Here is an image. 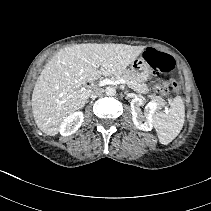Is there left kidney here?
Wrapping results in <instances>:
<instances>
[{
	"label": "left kidney",
	"instance_id": "left-kidney-1",
	"mask_svg": "<svg viewBox=\"0 0 211 211\" xmlns=\"http://www.w3.org/2000/svg\"><path fill=\"white\" fill-rule=\"evenodd\" d=\"M144 104L142 98L136 97L131 101V113L134 125L143 131L152 130L153 123L152 117L156 109L158 108L157 103L154 101L149 102L144 108V115L141 112L140 106Z\"/></svg>",
	"mask_w": 211,
	"mask_h": 211
}]
</instances>
